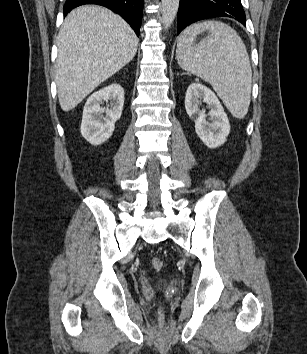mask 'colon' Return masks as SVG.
<instances>
[{"instance_id": "1", "label": "colon", "mask_w": 307, "mask_h": 354, "mask_svg": "<svg viewBox=\"0 0 307 354\" xmlns=\"http://www.w3.org/2000/svg\"><path fill=\"white\" fill-rule=\"evenodd\" d=\"M151 265L153 269L158 272L163 268V261L158 257H154L151 261Z\"/></svg>"}]
</instances>
